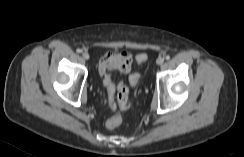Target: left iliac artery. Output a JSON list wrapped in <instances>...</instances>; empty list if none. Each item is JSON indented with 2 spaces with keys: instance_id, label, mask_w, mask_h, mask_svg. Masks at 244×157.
<instances>
[{
  "instance_id": "left-iliac-artery-1",
  "label": "left iliac artery",
  "mask_w": 244,
  "mask_h": 157,
  "mask_svg": "<svg viewBox=\"0 0 244 157\" xmlns=\"http://www.w3.org/2000/svg\"><path fill=\"white\" fill-rule=\"evenodd\" d=\"M165 59H166V60H169V59H170V56H169V55H167V56L165 57Z\"/></svg>"
}]
</instances>
